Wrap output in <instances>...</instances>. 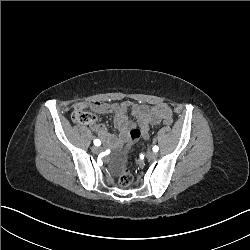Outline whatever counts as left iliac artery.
Instances as JSON below:
<instances>
[{
  "label": "left iliac artery",
  "mask_w": 250,
  "mask_h": 250,
  "mask_svg": "<svg viewBox=\"0 0 250 250\" xmlns=\"http://www.w3.org/2000/svg\"><path fill=\"white\" fill-rule=\"evenodd\" d=\"M158 150H159V147L155 145V146L153 147V151H154V152H158Z\"/></svg>",
  "instance_id": "left-iliac-artery-1"
}]
</instances>
